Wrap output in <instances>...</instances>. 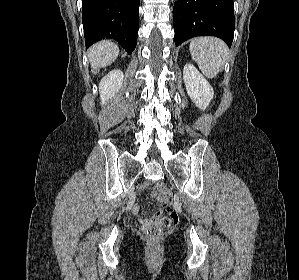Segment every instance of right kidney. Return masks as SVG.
<instances>
[{
	"label": "right kidney",
	"mask_w": 299,
	"mask_h": 280,
	"mask_svg": "<svg viewBox=\"0 0 299 280\" xmlns=\"http://www.w3.org/2000/svg\"><path fill=\"white\" fill-rule=\"evenodd\" d=\"M123 78V72L116 69L110 71L101 79L99 83L101 105L115 96V93L122 87Z\"/></svg>",
	"instance_id": "1"
}]
</instances>
